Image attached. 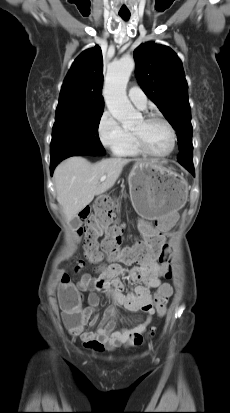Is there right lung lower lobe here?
<instances>
[{
  "instance_id": "1",
  "label": "right lung lower lobe",
  "mask_w": 230,
  "mask_h": 413,
  "mask_svg": "<svg viewBox=\"0 0 230 413\" xmlns=\"http://www.w3.org/2000/svg\"><path fill=\"white\" fill-rule=\"evenodd\" d=\"M81 156H94V155H81ZM59 162H60V161H59ZM59 162H58V161H57V162H51V165H50L51 174H53V171H54L55 167L57 166V164H58Z\"/></svg>"
}]
</instances>
